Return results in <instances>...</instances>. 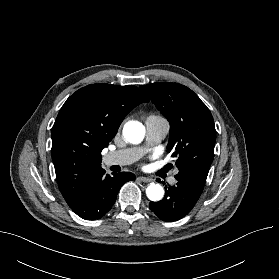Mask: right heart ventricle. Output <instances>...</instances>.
I'll return each instance as SVG.
<instances>
[{"label": "right heart ventricle", "mask_w": 279, "mask_h": 279, "mask_svg": "<svg viewBox=\"0 0 279 279\" xmlns=\"http://www.w3.org/2000/svg\"><path fill=\"white\" fill-rule=\"evenodd\" d=\"M149 117H159V116H156V115H151V116H149Z\"/></svg>", "instance_id": "obj_1"}]
</instances>
